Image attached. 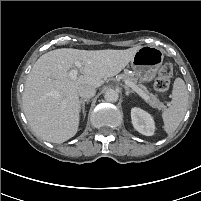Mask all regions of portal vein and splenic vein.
<instances>
[{
    "label": "portal vein and splenic vein",
    "mask_w": 201,
    "mask_h": 201,
    "mask_svg": "<svg viewBox=\"0 0 201 201\" xmlns=\"http://www.w3.org/2000/svg\"><path fill=\"white\" fill-rule=\"evenodd\" d=\"M81 66H82V64H81L80 61H76V62H75V68L72 69V70L69 72V77H70L71 79H76V78H77L78 70H79V68H80ZM125 84L128 85V86H130L131 88H133L134 91H135L136 93H138V94L141 96V98H143L144 100H147V99L149 98L148 95L145 94L140 88H138V87H133L129 81L125 80Z\"/></svg>",
    "instance_id": "1"
}]
</instances>
